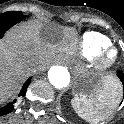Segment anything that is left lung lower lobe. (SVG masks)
Listing matches in <instances>:
<instances>
[{"label": "left lung lower lobe", "mask_w": 124, "mask_h": 124, "mask_svg": "<svg viewBox=\"0 0 124 124\" xmlns=\"http://www.w3.org/2000/svg\"><path fill=\"white\" fill-rule=\"evenodd\" d=\"M117 76H118V78L120 79V81L122 82V84H123V89H124V74H123V72L120 71V70H118V71H117Z\"/></svg>", "instance_id": "0a47b994"}]
</instances>
